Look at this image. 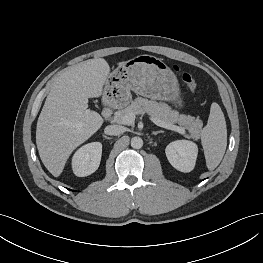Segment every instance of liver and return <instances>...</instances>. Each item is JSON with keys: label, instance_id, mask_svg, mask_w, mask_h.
Returning a JSON list of instances; mask_svg holds the SVG:
<instances>
[{"label": "liver", "instance_id": "liver-1", "mask_svg": "<svg viewBox=\"0 0 263 263\" xmlns=\"http://www.w3.org/2000/svg\"><path fill=\"white\" fill-rule=\"evenodd\" d=\"M109 75L106 60L97 58L70 67L56 78L36 128L39 156L53 176H60L73 150L102 126L100 114L88 109V99L103 94Z\"/></svg>", "mask_w": 263, "mask_h": 263}]
</instances>
